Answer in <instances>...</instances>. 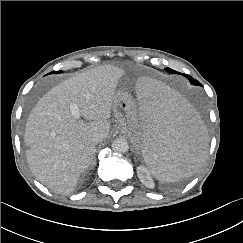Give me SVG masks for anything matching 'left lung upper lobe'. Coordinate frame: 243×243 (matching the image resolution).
Segmentation results:
<instances>
[{
	"label": "left lung upper lobe",
	"mask_w": 243,
	"mask_h": 243,
	"mask_svg": "<svg viewBox=\"0 0 243 243\" xmlns=\"http://www.w3.org/2000/svg\"><path fill=\"white\" fill-rule=\"evenodd\" d=\"M168 73H175V74H177L178 72H176V71H174V70H172V69H170V68H166L165 69ZM184 76H186L188 79H189V81L193 84V85H201L197 80H195V79H193L191 76H189V75H185V74H183Z\"/></svg>",
	"instance_id": "5c2ea615"
}]
</instances>
